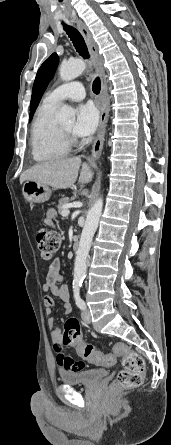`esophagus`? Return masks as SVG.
<instances>
[{
    "instance_id": "esophagus-1",
    "label": "esophagus",
    "mask_w": 171,
    "mask_h": 445,
    "mask_svg": "<svg viewBox=\"0 0 171 445\" xmlns=\"http://www.w3.org/2000/svg\"><path fill=\"white\" fill-rule=\"evenodd\" d=\"M77 26L87 44V47L90 51V54L93 58L94 66L101 78V93H100V124H99V130L97 137L93 143L91 155H90V163H94L98 157L101 154V151L103 149V143L105 139V131H106V125L108 121V115H109V95L107 90V80L105 75V70L103 67V59L98 53V48L87 28V26L79 19L76 20Z\"/></svg>"
}]
</instances>
